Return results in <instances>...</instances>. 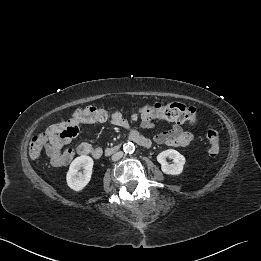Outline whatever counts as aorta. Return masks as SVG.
Masks as SVG:
<instances>
[{"instance_id": "aorta-1", "label": "aorta", "mask_w": 261, "mask_h": 261, "mask_svg": "<svg viewBox=\"0 0 261 261\" xmlns=\"http://www.w3.org/2000/svg\"><path fill=\"white\" fill-rule=\"evenodd\" d=\"M123 150L126 154H132L135 151V145L132 142L125 143L123 146Z\"/></svg>"}]
</instances>
